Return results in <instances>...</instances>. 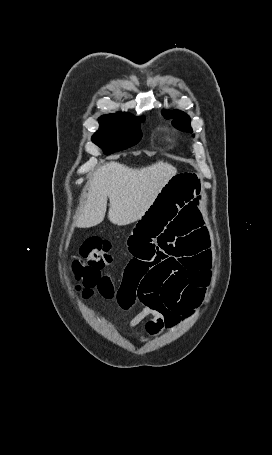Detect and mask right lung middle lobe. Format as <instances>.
<instances>
[{
  "instance_id": "1",
  "label": "right lung middle lobe",
  "mask_w": 272,
  "mask_h": 455,
  "mask_svg": "<svg viewBox=\"0 0 272 455\" xmlns=\"http://www.w3.org/2000/svg\"><path fill=\"white\" fill-rule=\"evenodd\" d=\"M145 117H134L129 113L104 115L99 118L100 128L92 136V141L102 148L105 154L124 150L139 142L140 124Z\"/></svg>"
}]
</instances>
